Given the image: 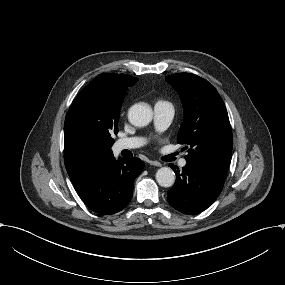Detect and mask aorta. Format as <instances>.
<instances>
[{
    "label": "aorta",
    "instance_id": "1",
    "mask_svg": "<svg viewBox=\"0 0 285 285\" xmlns=\"http://www.w3.org/2000/svg\"><path fill=\"white\" fill-rule=\"evenodd\" d=\"M152 109L149 105L138 104L130 108L128 119L130 123L137 127H144L152 120ZM156 180L162 187H170L175 183V173L169 167H162L156 173Z\"/></svg>",
    "mask_w": 285,
    "mask_h": 285
}]
</instances>
